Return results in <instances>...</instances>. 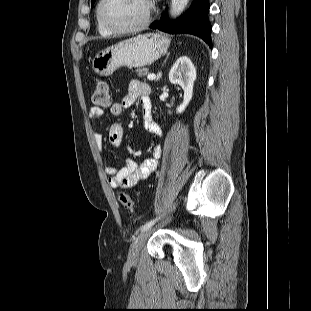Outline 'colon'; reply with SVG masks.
Here are the masks:
<instances>
[{"label":"colon","instance_id":"colon-1","mask_svg":"<svg viewBox=\"0 0 311 311\" xmlns=\"http://www.w3.org/2000/svg\"><path fill=\"white\" fill-rule=\"evenodd\" d=\"M92 102L95 107H107L111 102V94L108 85L101 80L96 81L93 94H92ZM120 204L130 213L134 212L135 204L133 199L125 194L120 193L118 196Z\"/></svg>","mask_w":311,"mask_h":311}]
</instances>
